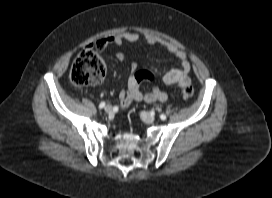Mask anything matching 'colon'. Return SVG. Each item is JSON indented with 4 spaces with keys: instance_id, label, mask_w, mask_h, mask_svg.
Wrapping results in <instances>:
<instances>
[{
    "instance_id": "colon-1",
    "label": "colon",
    "mask_w": 272,
    "mask_h": 198,
    "mask_svg": "<svg viewBox=\"0 0 272 198\" xmlns=\"http://www.w3.org/2000/svg\"><path fill=\"white\" fill-rule=\"evenodd\" d=\"M105 74V65L101 57L92 49L81 51L73 61L70 71L71 82L79 87L99 83ZM140 74L152 76L150 72L141 71ZM193 88L186 86L182 89L181 95L185 100L193 96Z\"/></svg>"
}]
</instances>
